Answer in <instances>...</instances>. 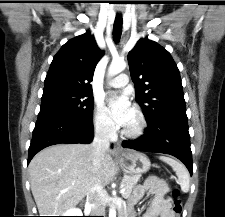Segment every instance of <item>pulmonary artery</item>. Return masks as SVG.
<instances>
[{"mask_svg":"<svg viewBox=\"0 0 225 217\" xmlns=\"http://www.w3.org/2000/svg\"><path fill=\"white\" fill-rule=\"evenodd\" d=\"M129 83V78L126 74H120L109 82V85L115 88H121Z\"/></svg>","mask_w":225,"mask_h":217,"instance_id":"obj_1","label":"pulmonary artery"}]
</instances>
